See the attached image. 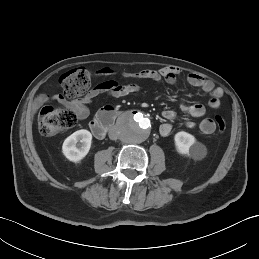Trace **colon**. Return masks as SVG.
<instances>
[{"instance_id": "obj_1", "label": "colon", "mask_w": 259, "mask_h": 259, "mask_svg": "<svg viewBox=\"0 0 259 259\" xmlns=\"http://www.w3.org/2000/svg\"><path fill=\"white\" fill-rule=\"evenodd\" d=\"M95 74L85 68H75L63 74L60 78V85L64 94L69 98H80L85 94ZM77 121V115L68 108L48 105L42 108L38 125L43 136H53L65 129H68ZM218 133H224L227 124L225 119L217 115L214 118Z\"/></svg>"}]
</instances>
